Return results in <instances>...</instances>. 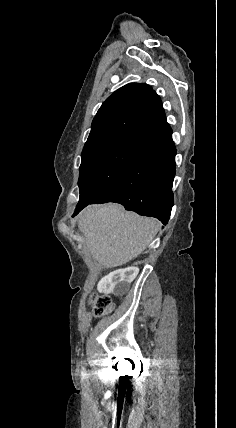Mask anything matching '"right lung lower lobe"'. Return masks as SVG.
Here are the masks:
<instances>
[{"label": "right lung lower lobe", "mask_w": 236, "mask_h": 428, "mask_svg": "<svg viewBox=\"0 0 236 428\" xmlns=\"http://www.w3.org/2000/svg\"><path fill=\"white\" fill-rule=\"evenodd\" d=\"M141 142L140 152L125 172L95 199L76 207L73 216L89 204L116 202L126 210L168 223L173 206L176 155L169 124Z\"/></svg>", "instance_id": "98d812e1"}]
</instances>
